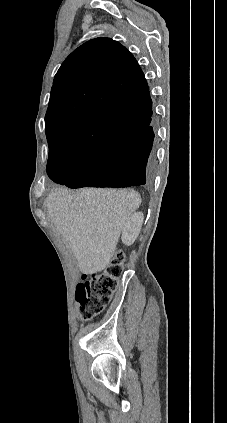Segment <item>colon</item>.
<instances>
[{"label":"colon","mask_w":227,"mask_h":423,"mask_svg":"<svg viewBox=\"0 0 227 423\" xmlns=\"http://www.w3.org/2000/svg\"><path fill=\"white\" fill-rule=\"evenodd\" d=\"M124 255L118 252L106 269L84 278L76 291L79 318L87 321L100 314L111 300L122 274Z\"/></svg>","instance_id":"colon-1"}]
</instances>
